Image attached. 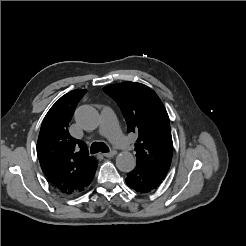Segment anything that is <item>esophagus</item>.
I'll list each match as a JSON object with an SVG mask.
<instances>
[{
	"mask_svg": "<svg viewBox=\"0 0 246 246\" xmlns=\"http://www.w3.org/2000/svg\"><path fill=\"white\" fill-rule=\"evenodd\" d=\"M116 154H117V152L115 150H112L108 153H104L103 155L107 158H111V157L115 156Z\"/></svg>",
	"mask_w": 246,
	"mask_h": 246,
	"instance_id": "obj_1",
	"label": "esophagus"
}]
</instances>
